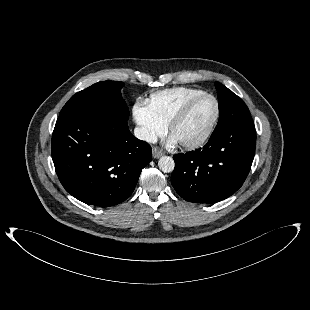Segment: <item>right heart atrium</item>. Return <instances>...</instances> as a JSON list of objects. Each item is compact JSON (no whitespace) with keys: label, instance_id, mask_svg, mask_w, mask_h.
Segmentation results:
<instances>
[{"label":"right heart atrium","instance_id":"d8ad5b80","mask_svg":"<svg viewBox=\"0 0 310 310\" xmlns=\"http://www.w3.org/2000/svg\"><path fill=\"white\" fill-rule=\"evenodd\" d=\"M133 118L138 126L139 137L146 142L155 141L167 129V124L153 114L147 103L134 105Z\"/></svg>","mask_w":310,"mask_h":310}]
</instances>
